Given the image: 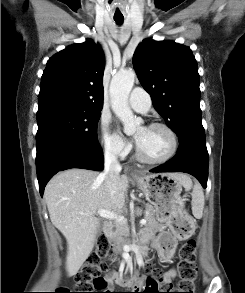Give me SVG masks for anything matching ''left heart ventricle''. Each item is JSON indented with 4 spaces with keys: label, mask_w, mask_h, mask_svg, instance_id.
Returning a JSON list of instances; mask_svg holds the SVG:
<instances>
[{
    "label": "left heart ventricle",
    "mask_w": 245,
    "mask_h": 293,
    "mask_svg": "<svg viewBox=\"0 0 245 293\" xmlns=\"http://www.w3.org/2000/svg\"><path fill=\"white\" fill-rule=\"evenodd\" d=\"M136 137H140L138 146L141 152L148 158L158 159L165 156L171 148V139L169 134L159 128H139L136 131Z\"/></svg>",
    "instance_id": "left-heart-ventricle-1"
}]
</instances>
